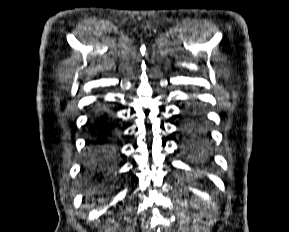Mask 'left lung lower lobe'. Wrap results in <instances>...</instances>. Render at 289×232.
Masks as SVG:
<instances>
[{
  "mask_svg": "<svg viewBox=\"0 0 289 232\" xmlns=\"http://www.w3.org/2000/svg\"><path fill=\"white\" fill-rule=\"evenodd\" d=\"M187 117H188V120L201 123L207 128L205 120L202 117V114L200 113V111L198 109H190L188 111Z\"/></svg>",
  "mask_w": 289,
  "mask_h": 232,
  "instance_id": "obj_1",
  "label": "left lung lower lobe"
}]
</instances>
